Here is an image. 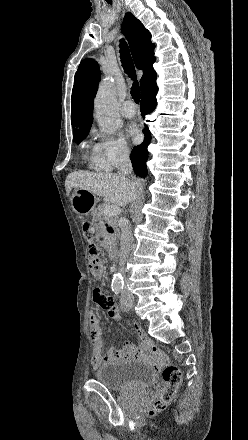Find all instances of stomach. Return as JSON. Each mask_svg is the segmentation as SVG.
I'll list each match as a JSON object with an SVG mask.
<instances>
[{
    "label": "stomach",
    "instance_id": "0dacf381",
    "mask_svg": "<svg viewBox=\"0 0 248 440\" xmlns=\"http://www.w3.org/2000/svg\"><path fill=\"white\" fill-rule=\"evenodd\" d=\"M72 208L78 214L88 213L95 207L97 203L96 195L84 189L75 188L72 193ZM97 226L99 227L100 235L99 246H112L113 239L109 237L111 232L116 231V224L113 218H98Z\"/></svg>",
    "mask_w": 248,
    "mask_h": 440
}]
</instances>
